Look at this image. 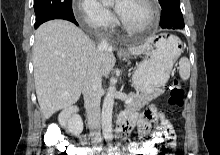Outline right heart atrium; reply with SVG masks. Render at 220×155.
<instances>
[{
	"label": "right heart atrium",
	"instance_id": "d8ad5b80",
	"mask_svg": "<svg viewBox=\"0 0 220 155\" xmlns=\"http://www.w3.org/2000/svg\"><path fill=\"white\" fill-rule=\"evenodd\" d=\"M73 12L77 20L89 31L106 33L113 29V13L98 0H76Z\"/></svg>",
	"mask_w": 220,
	"mask_h": 155
}]
</instances>
